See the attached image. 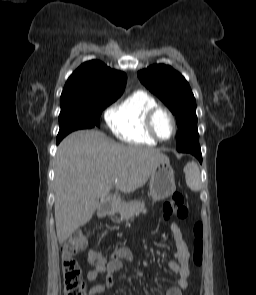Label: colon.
<instances>
[{
	"instance_id": "5ec220e1",
	"label": "colon",
	"mask_w": 256,
	"mask_h": 295,
	"mask_svg": "<svg viewBox=\"0 0 256 295\" xmlns=\"http://www.w3.org/2000/svg\"><path fill=\"white\" fill-rule=\"evenodd\" d=\"M189 210L184 204V197L181 192H175L164 204L162 218L165 221L171 218L186 219ZM194 252L193 261L200 265L203 260V225L196 222L193 226ZM87 237L83 232H77L64 244L61 254V266L65 295H85V283L82 277V269L78 263V254L86 248ZM91 264H98L102 261L98 252H92L89 256Z\"/></svg>"
}]
</instances>
